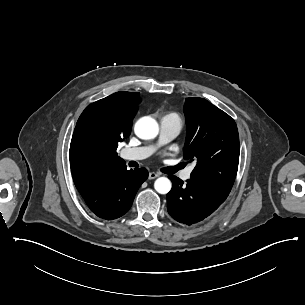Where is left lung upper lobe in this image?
<instances>
[{
  "label": "left lung upper lobe",
  "mask_w": 305,
  "mask_h": 305,
  "mask_svg": "<svg viewBox=\"0 0 305 305\" xmlns=\"http://www.w3.org/2000/svg\"><path fill=\"white\" fill-rule=\"evenodd\" d=\"M187 136L184 159L196 160L190 179L231 190L239 162L235 121L203 98H187L184 105Z\"/></svg>",
  "instance_id": "left-lung-upper-lobe-1"
}]
</instances>
